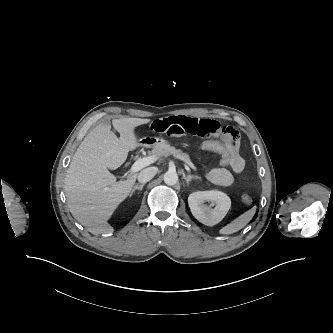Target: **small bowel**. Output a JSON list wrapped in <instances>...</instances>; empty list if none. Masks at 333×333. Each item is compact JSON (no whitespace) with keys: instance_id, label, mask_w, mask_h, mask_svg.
<instances>
[{"instance_id":"1","label":"small bowel","mask_w":333,"mask_h":333,"mask_svg":"<svg viewBox=\"0 0 333 333\" xmlns=\"http://www.w3.org/2000/svg\"><path fill=\"white\" fill-rule=\"evenodd\" d=\"M149 128L152 132L171 137H209L226 147L231 157L230 167L211 168L206 173L208 180L216 185H232L236 175L245 167V161L239 153L238 133L231 126L221 125L213 119L176 115L157 118L149 124Z\"/></svg>"}]
</instances>
